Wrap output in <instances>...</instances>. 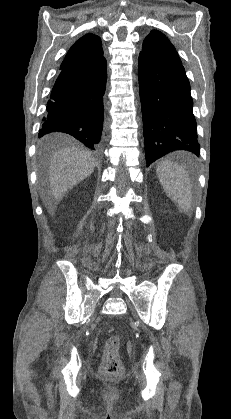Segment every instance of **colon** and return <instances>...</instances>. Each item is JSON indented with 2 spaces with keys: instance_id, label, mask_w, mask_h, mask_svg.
Here are the masks:
<instances>
[{
  "instance_id": "colon-1",
  "label": "colon",
  "mask_w": 231,
  "mask_h": 419,
  "mask_svg": "<svg viewBox=\"0 0 231 419\" xmlns=\"http://www.w3.org/2000/svg\"><path fill=\"white\" fill-rule=\"evenodd\" d=\"M120 340L117 336H111L107 339L104 348V356L101 365L103 375H117L122 369V363L119 356Z\"/></svg>"
}]
</instances>
